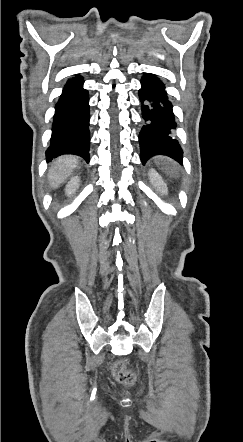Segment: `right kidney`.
<instances>
[{
  "mask_svg": "<svg viewBox=\"0 0 243 442\" xmlns=\"http://www.w3.org/2000/svg\"><path fill=\"white\" fill-rule=\"evenodd\" d=\"M80 179L78 176L73 177L66 185L65 193L67 196H71L79 187Z\"/></svg>",
  "mask_w": 243,
  "mask_h": 442,
  "instance_id": "ca27d5eb",
  "label": "right kidney"
}]
</instances>
